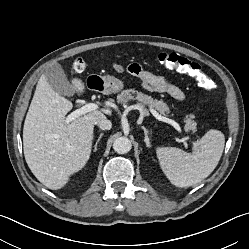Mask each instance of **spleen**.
Here are the masks:
<instances>
[{
	"label": "spleen",
	"mask_w": 249,
	"mask_h": 249,
	"mask_svg": "<svg viewBox=\"0 0 249 249\" xmlns=\"http://www.w3.org/2000/svg\"><path fill=\"white\" fill-rule=\"evenodd\" d=\"M224 145V134L211 129L193 143V153L175 147H159L156 153L170 182L182 188L195 185L212 173L221 158Z\"/></svg>",
	"instance_id": "obj_1"
}]
</instances>
